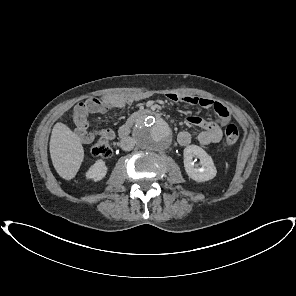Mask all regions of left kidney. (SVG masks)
<instances>
[{"label": "left kidney", "mask_w": 296, "mask_h": 296, "mask_svg": "<svg viewBox=\"0 0 296 296\" xmlns=\"http://www.w3.org/2000/svg\"><path fill=\"white\" fill-rule=\"evenodd\" d=\"M184 168L187 175L197 182H205L216 176L217 170L210 155L197 145H189L184 148ZM199 158L198 167L193 159Z\"/></svg>", "instance_id": "left-kidney-1"}]
</instances>
